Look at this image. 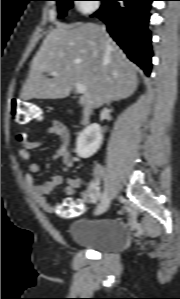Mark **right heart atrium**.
<instances>
[{"label": "right heart atrium", "instance_id": "obj_1", "mask_svg": "<svg viewBox=\"0 0 180 299\" xmlns=\"http://www.w3.org/2000/svg\"><path fill=\"white\" fill-rule=\"evenodd\" d=\"M77 2V9L83 14L94 13L99 7L97 0H77Z\"/></svg>", "mask_w": 180, "mask_h": 299}]
</instances>
